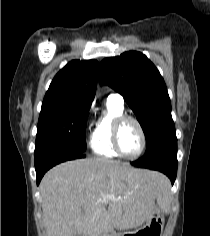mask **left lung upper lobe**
<instances>
[{"label":"left lung upper lobe","mask_w":210,"mask_h":236,"mask_svg":"<svg viewBox=\"0 0 210 236\" xmlns=\"http://www.w3.org/2000/svg\"><path fill=\"white\" fill-rule=\"evenodd\" d=\"M100 79L120 93L135 113L146 136V152L175 134L165 82L144 54L128 51L105 58L100 64Z\"/></svg>","instance_id":"left-lung-upper-lobe-1"}]
</instances>
